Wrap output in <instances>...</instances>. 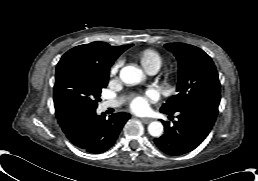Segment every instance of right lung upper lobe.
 I'll list each match as a JSON object with an SVG mask.
<instances>
[{
    "instance_id": "cb5924a9",
    "label": "right lung upper lobe",
    "mask_w": 258,
    "mask_h": 181,
    "mask_svg": "<svg viewBox=\"0 0 258 181\" xmlns=\"http://www.w3.org/2000/svg\"><path fill=\"white\" fill-rule=\"evenodd\" d=\"M131 46L132 44L110 46L105 42H92L76 46L64 54V56L78 55L98 70L109 73V69L117 57Z\"/></svg>"
}]
</instances>
